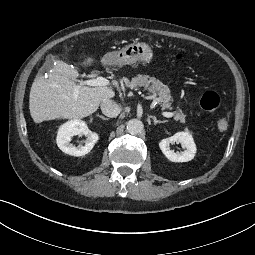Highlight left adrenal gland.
Returning a JSON list of instances; mask_svg holds the SVG:
<instances>
[{
	"label": "left adrenal gland",
	"mask_w": 255,
	"mask_h": 255,
	"mask_svg": "<svg viewBox=\"0 0 255 255\" xmlns=\"http://www.w3.org/2000/svg\"><path fill=\"white\" fill-rule=\"evenodd\" d=\"M150 117L153 119L154 125H157L158 123H166V122H168V120H163V121L157 120V118L155 116H150Z\"/></svg>",
	"instance_id": "left-adrenal-gland-1"
}]
</instances>
